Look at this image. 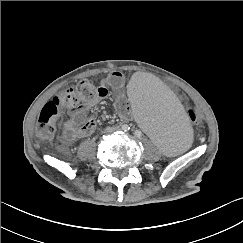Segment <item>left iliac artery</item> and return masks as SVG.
<instances>
[{
  "label": "left iliac artery",
  "instance_id": "left-iliac-artery-1",
  "mask_svg": "<svg viewBox=\"0 0 243 243\" xmlns=\"http://www.w3.org/2000/svg\"><path fill=\"white\" fill-rule=\"evenodd\" d=\"M135 134H136V135H140V132L136 131Z\"/></svg>",
  "mask_w": 243,
  "mask_h": 243
}]
</instances>
